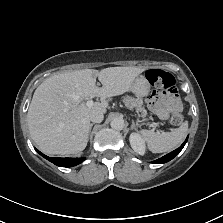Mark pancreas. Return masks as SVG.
Instances as JSON below:
<instances>
[{
  "mask_svg": "<svg viewBox=\"0 0 223 223\" xmlns=\"http://www.w3.org/2000/svg\"><path fill=\"white\" fill-rule=\"evenodd\" d=\"M120 101L124 103V105L128 108H135L137 111L140 112V117L144 121H153V117L147 115V112L144 108V104L142 101L135 99V97L128 96L127 94L121 96Z\"/></svg>",
  "mask_w": 223,
  "mask_h": 223,
  "instance_id": "cf45deb5",
  "label": "pancreas"
}]
</instances>
